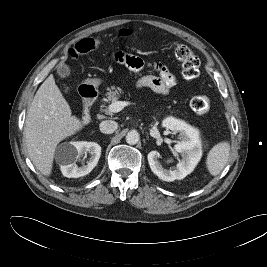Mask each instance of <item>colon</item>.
<instances>
[{"mask_svg":"<svg viewBox=\"0 0 267 267\" xmlns=\"http://www.w3.org/2000/svg\"><path fill=\"white\" fill-rule=\"evenodd\" d=\"M121 35H131V31L123 30ZM100 45L101 41L98 39L84 38L69 50V55L73 58H76L80 55L94 51ZM173 50L177 60L181 64L183 78L187 81L196 79L199 75L200 62L192 50L186 45L180 43L174 44ZM190 106L196 114L203 115L206 114L210 109V100L205 95H197L190 100Z\"/></svg>","mask_w":267,"mask_h":267,"instance_id":"1","label":"colon"}]
</instances>
